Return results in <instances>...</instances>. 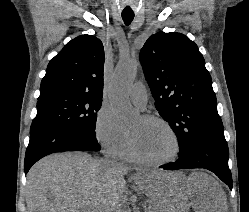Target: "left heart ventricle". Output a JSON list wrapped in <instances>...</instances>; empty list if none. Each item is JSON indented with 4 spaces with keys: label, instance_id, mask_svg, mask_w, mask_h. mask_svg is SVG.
Here are the masks:
<instances>
[{
    "label": "left heart ventricle",
    "instance_id": "obj_1",
    "mask_svg": "<svg viewBox=\"0 0 249 212\" xmlns=\"http://www.w3.org/2000/svg\"><path fill=\"white\" fill-rule=\"evenodd\" d=\"M127 133L135 151L147 160H165L176 151L174 137L157 122H145L139 117L131 124Z\"/></svg>",
    "mask_w": 249,
    "mask_h": 212
}]
</instances>
